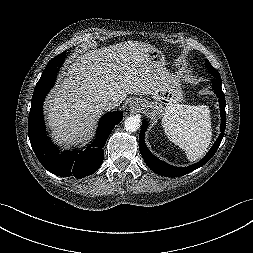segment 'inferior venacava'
Returning a JSON list of instances; mask_svg holds the SVG:
<instances>
[{
  "label": "inferior vena cava",
  "mask_w": 253,
  "mask_h": 253,
  "mask_svg": "<svg viewBox=\"0 0 253 253\" xmlns=\"http://www.w3.org/2000/svg\"><path fill=\"white\" fill-rule=\"evenodd\" d=\"M100 106L103 110H110L119 106V102L114 99L105 98L101 101Z\"/></svg>",
  "instance_id": "obj_1"
}]
</instances>
